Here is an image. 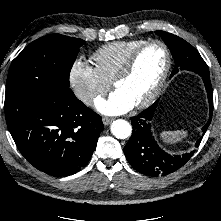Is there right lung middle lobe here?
I'll list each match as a JSON object with an SVG mask.
<instances>
[{"label":"right lung middle lobe","instance_id":"right-lung-middle-lobe-1","mask_svg":"<svg viewBox=\"0 0 221 221\" xmlns=\"http://www.w3.org/2000/svg\"><path fill=\"white\" fill-rule=\"evenodd\" d=\"M85 41L60 34L35 40L12 61L6 95L28 93L37 96L53 88L69 89V74Z\"/></svg>","mask_w":221,"mask_h":221}]
</instances>
